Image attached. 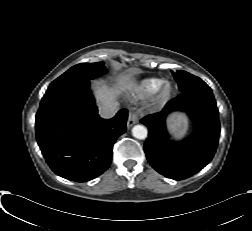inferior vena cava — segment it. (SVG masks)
<instances>
[{"instance_id": "inferior-vena-cava-1", "label": "inferior vena cava", "mask_w": 252, "mask_h": 231, "mask_svg": "<svg viewBox=\"0 0 252 231\" xmlns=\"http://www.w3.org/2000/svg\"><path fill=\"white\" fill-rule=\"evenodd\" d=\"M120 109V104L118 102H112L104 104L99 107V115L103 118L113 117Z\"/></svg>"}]
</instances>
